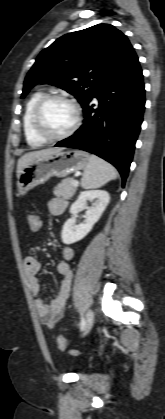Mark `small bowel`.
I'll return each mask as SVG.
<instances>
[{
	"label": "small bowel",
	"mask_w": 165,
	"mask_h": 419,
	"mask_svg": "<svg viewBox=\"0 0 165 419\" xmlns=\"http://www.w3.org/2000/svg\"><path fill=\"white\" fill-rule=\"evenodd\" d=\"M46 206L50 214L58 216L65 211L66 202L59 198H53L47 202ZM60 253L62 259L56 266L57 272L62 276L58 294L48 302L39 298L34 300V306L42 323L49 328H54L63 318L73 277L69 261L74 257V250L68 245H63ZM24 268L29 290L34 296H37L41 291L39 279L41 265L35 256L28 255L24 259Z\"/></svg>",
	"instance_id": "small-bowel-1"
}]
</instances>
